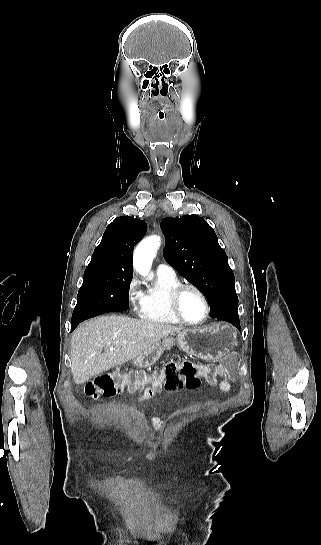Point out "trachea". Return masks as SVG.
<instances>
[{
    "mask_svg": "<svg viewBox=\"0 0 321 545\" xmlns=\"http://www.w3.org/2000/svg\"><path fill=\"white\" fill-rule=\"evenodd\" d=\"M159 121L162 123L164 121V119L166 118V115L160 110L159 112Z\"/></svg>",
    "mask_w": 321,
    "mask_h": 545,
    "instance_id": "trachea-1",
    "label": "trachea"
}]
</instances>
